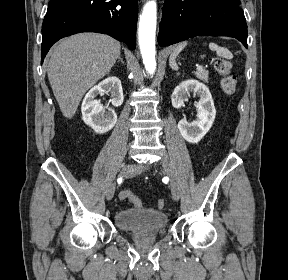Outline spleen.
I'll return each instance as SVG.
<instances>
[{
    "label": "spleen",
    "mask_w": 288,
    "mask_h": 280,
    "mask_svg": "<svg viewBox=\"0 0 288 280\" xmlns=\"http://www.w3.org/2000/svg\"><path fill=\"white\" fill-rule=\"evenodd\" d=\"M186 45H187V41L179 43L175 47L173 52L171 53L170 58H169V65L172 69H174V70L179 69V67L176 63V57L185 48ZM209 48L212 51H216V54L218 56L224 57L226 59H232L233 58V54L227 48L221 47V46L217 45L216 43H209Z\"/></svg>",
    "instance_id": "3e777b00"
}]
</instances>
